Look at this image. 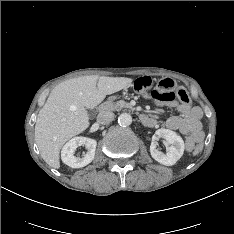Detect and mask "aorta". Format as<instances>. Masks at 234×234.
<instances>
[{"label":"aorta","mask_w":234,"mask_h":234,"mask_svg":"<svg viewBox=\"0 0 234 234\" xmlns=\"http://www.w3.org/2000/svg\"><path fill=\"white\" fill-rule=\"evenodd\" d=\"M118 123L120 126L127 127L132 123V116L129 113H122L118 117Z\"/></svg>","instance_id":"762f6f07"}]
</instances>
